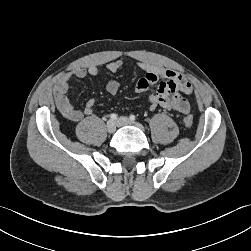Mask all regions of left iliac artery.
I'll use <instances>...</instances> for the list:
<instances>
[{
  "label": "left iliac artery",
  "instance_id": "obj_1",
  "mask_svg": "<svg viewBox=\"0 0 251 251\" xmlns=\"http://www.w3.org/2000/svg\"><path fill=\"white\" fill-rule=\"evenodd\" d=\"M129 118H130L131 121H134L136 117H135V115H130Z\"/></svg>",
  "mask_w": 251,
  "mask_h": 251
}]
</instances>
